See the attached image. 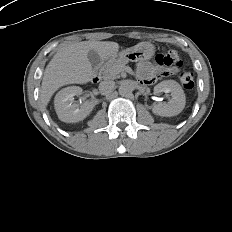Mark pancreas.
Returning a JSON list of instances; mask_svg holds the SVG:
<instances>
[{
    "label": "pancreas",
    "instance_id": "pancreas-1",
    "mask_svg": "<svg viewBox=\"0 0 232 232\" xmlns=\"http://www.w3.org/2000/svg\"><path fill=\"white\" fill-rule=\"evenodd\" d=\"M127 63L128 61L123 59L109 60L101 67L103 77L105 79H116Z\"/></svg>",
    "mask_w": 232,
    "mask_h": 232
}]
</instances>
